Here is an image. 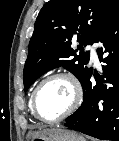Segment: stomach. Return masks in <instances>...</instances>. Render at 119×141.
Wrapping results in <instances>:
<instances>
[{"label":"stomach","instance_id":"0dacf381","mask_svg":"<svg viewBox=\"0 0 119 141\" xmlns=\"http://www.w3.org/2000/svg\"><path fill=\"white\" fill-rule=\"evenodd\" d=\"M27 141H34L40 139L43 141H86L85 138L77 132L65 129H47L41 132H28Z\"/></svg>","mask_w":119,"mask_h":141}]
</instances>
